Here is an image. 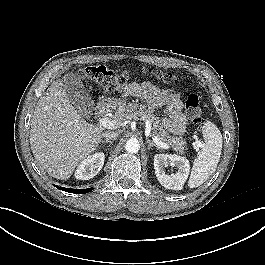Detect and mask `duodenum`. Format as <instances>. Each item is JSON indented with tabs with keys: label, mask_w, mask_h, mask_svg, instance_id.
<instances>
[{
	"label": "duodenum",
	"mask_w": 265,
	"mask_h": 265,
	"mask_svg": "<svg viewBox=\"0 0 265 265\" xmlns=\"http://www.w3.org/2000/svg\"><path fill=\"white\" fill-rule=\"evenodd\" d=\"M109 104H110V102H108V101H103V102L99 103L95 108V114L96 115L104 114L107 111V109L109 108Z\"/></svg>",
	"instance_id": "obj_1"
}]
</instances>
